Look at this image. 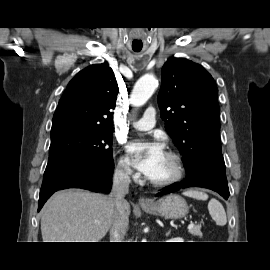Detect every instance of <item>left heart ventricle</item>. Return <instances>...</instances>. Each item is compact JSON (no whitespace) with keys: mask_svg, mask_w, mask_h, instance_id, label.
Here are the masks:
<instances>
[{"mask_svg":"<svg viewBox=\"0 0 270 270\" xmlns=\"http://www.w3.org/2000/svg\"><path fill=\"white\" fill-rule=\"evenodd\" d=\"M173 172H174L173 160L165 154L158 170L151 177V179L156 181L164 180L170 177L173 174Z\"/></svg>","mask_w":270,"mask_h":270,"instance_id":"obj_1","label":"left heart ventricle"}]
</instances>
